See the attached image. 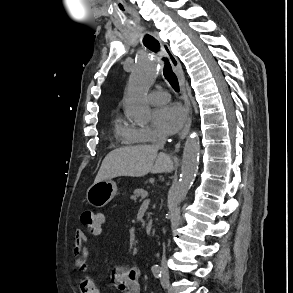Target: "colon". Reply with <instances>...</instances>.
<instances>
[{
	"label": "colon",
	"instance_id": "colon-1",
	"mask_svg": "<svg viewBox=\"0 0 293 293\" xmlns=\"http://www.w3.org/2000/svg\"><path fill=\"white\" fill-rule=\"evenodd\" d=\"M81 223L88 230V232H95L101 228V220L98 214L91 211L85 210L81 214ZM97 287H92L90 293H97Z\"/></svg>",
	"mask_w": 293,
	"mask_h": 293
}]
</instances>
